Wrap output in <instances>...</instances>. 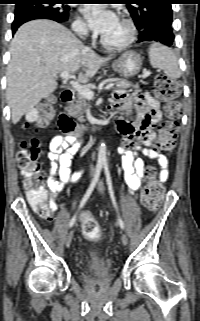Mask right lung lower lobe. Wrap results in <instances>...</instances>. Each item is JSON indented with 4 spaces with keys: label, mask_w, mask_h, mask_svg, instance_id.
I'll use <instances>...</instances> for the list:
<instances>
[{
    "label": "right lung lower lobe",
    "mask_w": 200,
    "mask_h": 321,
    "mask_svg": "<svg viewBox=\"0 0 200 321\" xmlns=\"http://www.w3.org/2000/svg\"><path fill=\"white\" fill-rule=\"evenodd\" d=\"M34 19H50L58 23H63L58 17L48 12L28 11L16 14L12 23V33L14 34L23 23Z\"/></svg>",
    "instance_id": "right-lung-lower-lobe-1"
}]
</instances>
